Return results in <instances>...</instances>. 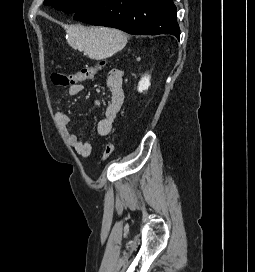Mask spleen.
Instances as JSON below:
<instances>
[{"instance_id": "1", "label": "spleen", "mask_w": 255, "mask_h": 272, "mask_svg": "<svg viewBox=\"0 0 255 272\" xmlns=\"http://www.w3.org/2000/svg\"><path fill=\"white\" fill-rule=\"evenodd\" d=\"M68 43L83 50L92 59H105L122 50L127 43L126 35L117 29L72 25L67 30Z\"/></svg>"}]
</instances>
